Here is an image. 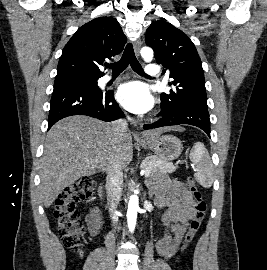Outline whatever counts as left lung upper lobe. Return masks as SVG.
I'll return each mask as SVG.
<instances>
[{
    "mask_svg": "<svg viewBox=\"0 0 267 270\" xmlns=\"http://www.w3.org/2000/svg\"><path fill=\"white\" fill-rule=\"evenodd\" d=\"M146 44L155 52V59L170 72L175 86L168 94L162 93L161 108L181 106L207 108L204 72L201 59L190 38L166 21L153 22L145 35Z\"/></svg>",
    "mask_w": 267,
    "mask_h": 270,
    "instance_id": "1",
    "label": "left lung upper lobe"
}]
</instances>
